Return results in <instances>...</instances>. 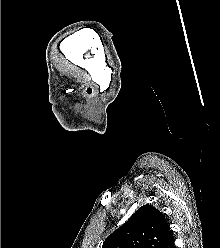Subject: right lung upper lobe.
<instances>
[{"instance_id": "1", "label": "right lung upper lobe", "mask_w": 220, "mask_h": 248, "mask_svg": "<svg viewBox=\"0 0 220 248\" xmlns=\"http://www.w3.org/2000/svg\"><path fill=\"white\" fill-rule=\"evenodd\" d=\"M172 238L164 215L146 204L110 234L102 248H164Z\"/></svg>"}]
</instances>
